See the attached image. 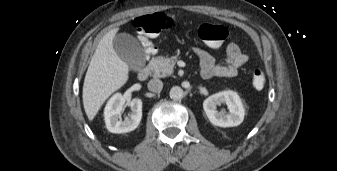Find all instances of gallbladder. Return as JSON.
<instances>
[{"label": "gallbladder", "mask_w": 337, "mask_h": 171, "mask_svg": "<svg viewBox=\"0 0 337 171\" xmlns=\"http://www.w3.org/2000/svg\"><path fill=\"white\" fill-rule=\"evenodd\" d=\"M113 45L117 55L125 61L132 70H141L145 64L144 52L133 36L126 33L118 34L114 38Z\"/></svg>", "instance_id": "obj_1"}]
</instances>
